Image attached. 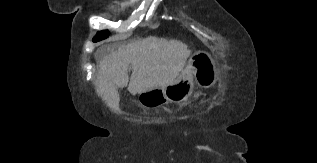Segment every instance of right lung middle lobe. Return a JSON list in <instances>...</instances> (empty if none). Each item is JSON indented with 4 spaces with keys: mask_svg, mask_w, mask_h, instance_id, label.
Instances as JSON below:
<instances>
[{
    "mask_svg": "<svg viewBox=\"0 0 317 163\" xmlns=\"http://www.w3.org/2000/svg\"><path fill=\"white\" fill-rule=\"evenodd\" d=\"M109 36V31L104 30L97 33V35L93 38L94 42L103 40Z\"/></svg>",
    "mask_w": 317,
    "mask_h": 163,
    "instance_id": "dd1d6c3e",
    "label": "right lung middle lobe"
}]
</instances>
